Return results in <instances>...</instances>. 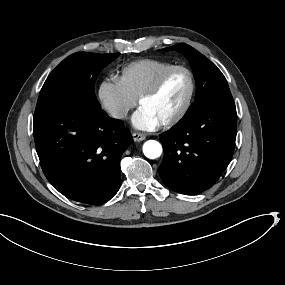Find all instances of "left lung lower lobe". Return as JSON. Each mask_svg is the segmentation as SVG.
Returning a JSON list of instances; mask_svg holds the SVG:
<instances>
[{"instance_id": "0a47b994", "label": "left lung lower lobe", "mask_w": 285, "mask_h": 285, "mask_svg": "<svg viewBox=\"0 0 285 285\" xmlns=\"http://www.w3.org/2000/svg\"><path fill=\"white\" fill-rule=\"evenodd\" d=\"M236 132L234 102L210 103L187 113L160 135L164 158L158 170L163 183L187 195L212 187L232 159Z\"/></svg>"}]
</instances>
